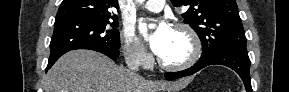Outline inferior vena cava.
<instances>
[{
    "mask_svg": "<svg viewBox=\"0 0 289 92\" xmlns=\"http://www.w3.org/2000/svg\"><path fill=\"white\" fill-rule=\"evenodd\" d=\"M140 53H141L140 46L135 45V44L129 46L126 57H125V61H126L127 67L131 71H138L139 69L138 57Z\"/></svg>",
    "mask_w": 289,
    "mask_h": 92,
    "instance_id": "602c4592",
    "label": "inferior vena cava"
}]
</instances>
